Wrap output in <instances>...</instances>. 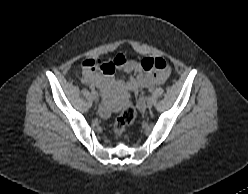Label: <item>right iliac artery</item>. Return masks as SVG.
<instances>
[{"label": "right iliac artery", "mask_w": 248, "mask_h": 194, "mask_svg": "<svg viewBox=\"0 0 248 194\" xmlns=\"http://www.w3.org/2000/svg\"><path fill=\"white\" fill-rule=\"evenodd\" d=\"M89 89L94 92L95 91V87L94 86H90Z\"/></svg>", "instance_id": "1"}]
</instances>
